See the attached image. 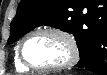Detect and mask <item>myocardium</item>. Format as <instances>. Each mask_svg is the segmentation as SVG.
Returning a JSON list of instances; mask_svg holds the SVG:
<instances>
[{"label":"myocardium","mask_w":107,"mask_h":75,"mask_svg":"<svg viewBox=\"0 0 107 75\" xmlns=\"http://www.w3.org/2000/svg\"><path fill=\"white\" fill-rule=\"evenodd\" d=\"M39 33H48L53 34L61 38L68 46L70 56L68 60L62 64L59 65H53V66H36L30 63L24 55V46L26 42L34 35ZM18 56L21 61V63L27 67L28 69L40 71V72H48V71H59L63 69H67L71 66H73L79 59V46L75 39V37L68 31H66L63 28L57 27V26H44L36 28L32 31H30L28 34H26L23 39L20 41L18 46Z\"/></svg>","instance_id":"1"}]
</instances>
